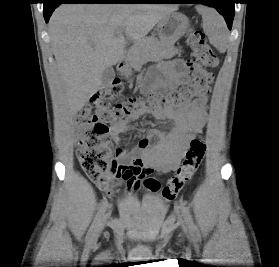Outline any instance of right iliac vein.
Instances as JSON below:
<instances>
[{
    "mask_svg": "<svg viewBox=\"0 0 279 267\" xmlns=\"http://www.w3.org/2000/svg\"><path fill=\"white\" fill-rule=\"evenodd\" d=\"M103 228H104V220L101 221L98 224V226H97V228H96V230H95V232H94V234L92 236V240H97L98 239V237H99L101 231L103 230Z\"/></svg>",
    "mask_w": 279,
    "mask_h": 267,
    "instance_id": "63e3f726",
    "label": "right iliac vein"
}]
</instances>
